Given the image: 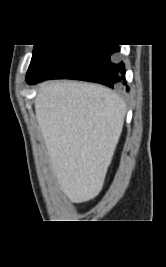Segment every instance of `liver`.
Masks as SVG:
<instances>
[{"label": "liver", "mask_w": 166, "mask_h": 267, "mask_svg": "<svg viewBox=\"0 0 166 267\" xmlns=\"http://www.w3.org/2000/svg\"><path fill=\"white\" fill-rule=\"evenodd\" d=\"M124 101L100 85L51 81L35 99L37 122L53 172L73 203L101 191L122 133Z\"/></svg>", "instance_id": "obj_1"}]
</instances>
